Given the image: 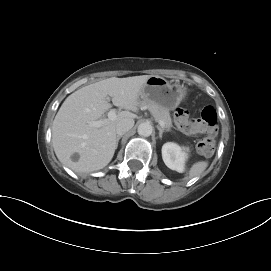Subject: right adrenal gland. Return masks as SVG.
<instances>
[{
  "label": "right adrenal gland",
  "instance_id": "2a0ac1e0",
  "mask_svg": "<svg viewBox=\"0 0 271 271\" xmlns=\"http://www.w3.org/2000/svg\"><path fill=\"white\" fill-rule=\"evenodd\" d=\"M122 135L121 136H117V139H116V145L118 146V142L119 140L121 139Z\"/></svg>",
  "mask_w": 271,
  "mask_h": 271
}]
</instances>
